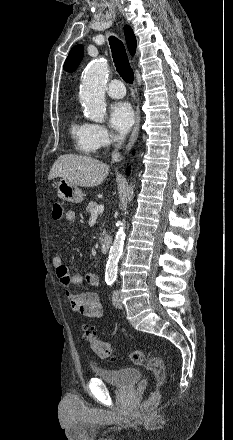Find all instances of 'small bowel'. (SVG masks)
<instances>
[{
    "instance_id": "c3829d8e",
    "label": "small bowel",
    "mask_w": 233,
    "mask_h": 440,
    "mask_svg": "<svg viewBox=\"0 0 233 440\" xmlns=\"http://www.w3.org/2000/svg\"><path fill=\"white\" fill-rule=\"evenodd\" d=\"M65 218L69 222H74L76 220L75 211L68 210ZM52 264L56 277L69 301L70 308L74 312L89 318H101L103 316V307L96 293L92 291L73 292L71 290V286L80 285L83 281L92 287H97L100 284L99 276L94 272H87L84 275L80 273L71 274L60 256H55Z\"/></svg>"
}]
</instances>
